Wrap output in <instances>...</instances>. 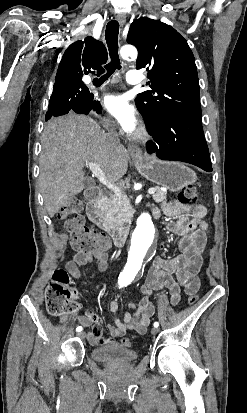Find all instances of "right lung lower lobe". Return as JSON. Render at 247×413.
<instances>
[{"label":"right lung lower lobe","instance_id":"obj_1","mask_svg":"<svg viewBox=\"0 0 247 413\" xmlns=\"http://www.w3.org/2000/svg\"><path fill=\"white\" fill-rule=\"evenodd\" d=\"M94 96L87 90L75 96H67L50 99L46 121L53 116L67 114L69 111H75L78 114H88L90 110L101 112V106L98 101L93 100Z\"/></svg>","mask_w":247,"mask_h":413}]
</instances>
